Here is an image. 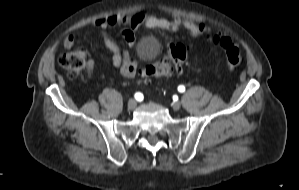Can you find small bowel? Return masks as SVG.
<instances>
[{"mask_svg":"<svg viewBox=\"0 0 299 190\" xmlns=\"http://www.w3.org/2000/svg\"><path fill=\"white\" fill-rule=\"evenodd\" d=\"M95 25L100 30L105 46L112 53L113 65L127 78L135 76L137 60L135 57L130 56L127 50L120 49L117 43L108 35V28L122 27L118 35L127 42L131 49L135 47V33L144 27L156 28L167 32H177L182 28L188 36L193 38H200L210 31L207 25L196 24L194 21L176 14L172 16V19L144 13L132 15L111 14L107 17L97 18ZM63 45L66 48H71L74 45L73 37H66ZM87 67L89 71H93L95 67L94 62L89 61Z\"/></svg>","mask_w":299,"mask_h":190,"instance_id":"c3829d8e","label":"small bowel"}]
</instances>
